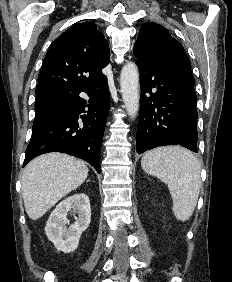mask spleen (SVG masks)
I'll return each instance as SVG.
<instances>
[{
	"mask_svg": "<svg viewBox=\"0 0 232 282\" xmlns=\"http://www.w3.org/2000/svg\"><path fill=\"white\" fill-rule=\"evenodd\" d=\"M143 170L165 182L173 199V212L180 221L194 212L200 190V163L191 152L180 147H162L147 152L141 160Z\"/></svg>",
	"mask_w": 232,
	"mask_h": 282,
	"instance_id": "obj_1",
	"label": "spleen"
}]
</instances>
